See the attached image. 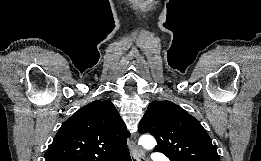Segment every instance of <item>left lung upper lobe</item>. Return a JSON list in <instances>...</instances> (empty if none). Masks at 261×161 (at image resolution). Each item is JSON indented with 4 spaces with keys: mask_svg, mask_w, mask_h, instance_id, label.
<instances>
[{
    "mask_svg": "<svg viewBox=\"0 0 261 161\" xmlns=\"http://www.w3.org/2000/svg\"><path fill=\"white\" fill-rule=\"evenodd\" d=\"M150 133L170 161H220L216 145L202 125L171 101H153L139 124V133Z\"/></svg>",
    "mask_w": 261,
    "mask_h": 161,
    "instance_id": "left-lung-upper-lobe-1",
    "label": "left lung upper lobe"
}]
</instances>
